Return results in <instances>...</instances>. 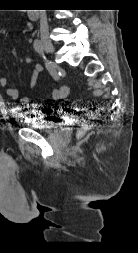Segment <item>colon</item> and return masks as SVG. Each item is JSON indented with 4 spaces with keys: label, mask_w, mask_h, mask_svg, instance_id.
<instances>
[{
    "label": "colon",
    "mask_w": 138,
    "mask_h": 253,
    "mask_svg": "<svg viewBox=\"0 0 138 253\" xmlns=\"http://www.w3.org/2000/svg\"><path fill=\"white\" fill-rule=\"evenodd\" d=\"M69 91H70V88L67 85H63L52 91V98L55 100L65 98L69 94ZM90 127H91V122L86 120L83 124V131L79 133V136H82L84 130H88Z\"/></svg>",
    "instance_id": "1"
}]
</instances>
